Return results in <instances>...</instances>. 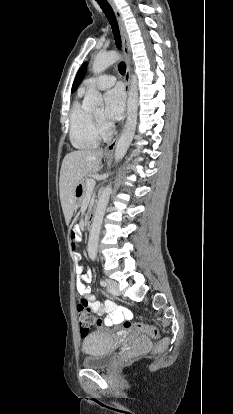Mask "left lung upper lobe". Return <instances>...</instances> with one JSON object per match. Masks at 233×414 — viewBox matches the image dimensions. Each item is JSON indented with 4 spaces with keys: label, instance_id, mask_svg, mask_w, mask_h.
<instances>
[{
    "label": "left lung upper lobe",
    "instance_id": "1",
    "mask_svg": "<svg viewBox=\"0 0 233 414\" xmlns=\"http://www.w3.org/2000/svg\"><path fill=\"white\" fill-rule=\"evenodd\" d=\"M86 68H87V63H84L81 66V68L79 69V71H78V73H77V75L75 77V80L73 82L72 93L78 88L79 84L83 80L84 75H85Z\"/></svg>",
    "mask_w": 233,
    "mask_h": 414
}]
</instances>
